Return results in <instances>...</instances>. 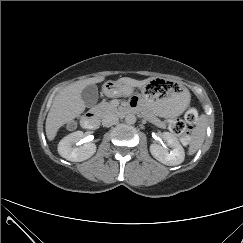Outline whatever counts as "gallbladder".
I'll return each instance as SVG.
<instances>
[{
  "label": "gallbladder",
  "mask_w": 243,
  "mask_h": 243,
  "mask_svg": "<svg viewBox=\"0 0 243 243\" xmlns=\"http://www.w3.org/2000/svg\"><path fill=\"white\" fill-rule=\"evenodd\" d=\"M81 98L87 107L94 106L98 101V88L95 84L86 86L82 93Z\"/></svg>",
  "instance_id": "1"
}]
</instances>
